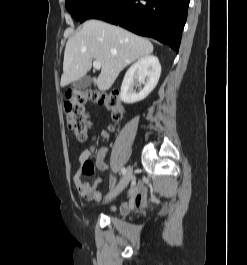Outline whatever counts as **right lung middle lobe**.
I'll use <instances>...</instances> for the list:
<instances>
[{"instance_id":"dd1d6c3e","label":"right lung middle lobe","mask_w":247,"mask_h":265,"mask_svg":"<svg viewBox=\"0 0 247 265\" xmlns=\"http://www.w3.org/2000/svg\"><path fill=\"white\" fill-rule=\"evenodd\" d=\"M98 1L99 0H66L65 5L75 20L80 21L83 15Z\"/></svg>"}]
</instances>
